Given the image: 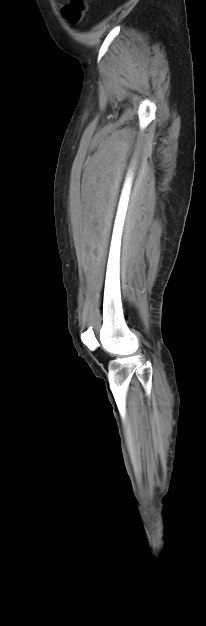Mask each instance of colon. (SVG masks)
Returning <instances> with one entry per match:
<instances>
[{"label": "colon", "mask_w": 206, "mask_h": 626, "mask_svg": "<svg viewBox=\"0 0 206 626\" xmlns=\"http://www.w3.org/2000/svg\"><path fill=\"white\" fill-rule=\"evenodd\" d=\"M86 9L85 0H70V3L63 8L65 17L71 22H78Z\"/></svg>", "instance_id": "1"}]
</instances>
